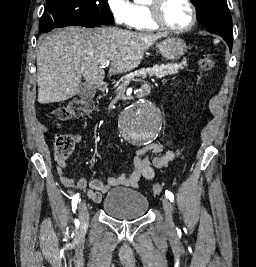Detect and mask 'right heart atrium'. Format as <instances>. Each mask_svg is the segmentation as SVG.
I'll use <instances>...</instances> for the list:
<instances>
[{
    "label": "right heart atrium",
    "mask_w": 256,
    "mask_h": 267,
    "mask_svg": "<svg viewBox=\"0 0 256 267\" xmlns=\"http://www.w3.org/2000/svg\"><path fill=\"white\" fill-rule=\"evenodd\" d=\"M114 22H121V25H124L126 28H131V18L128 16H118L114 14ZM111 56L112 54H108Z\"/></svg>",
    "instance_id": "right-heart-atrium-1"
}]
</instances>
